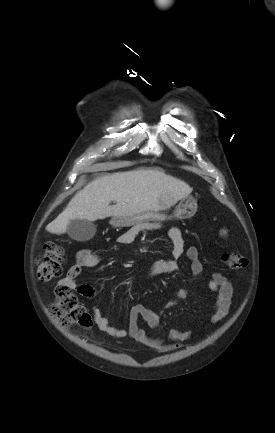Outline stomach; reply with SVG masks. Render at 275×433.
I'll list each match as a JSON object with an SVG mask.
<instances>
[{"label": "stomach", "mask_w": 275, "mask_h": 433, "mask_svg": "<svg viewBox=\"0 0 275 433\" xmlns=\"http://www.w3.org/2000/svg\"><path fill=\"white\" fill-rule=\"evenodd\" d=\"M175 204V200L170 199L167 203H161L160 207L154 211L142 212L139 214L113 217L110 224L114 227H126L137 223H148L151 221H165L172 218L175 219H189L197 211V202L192 197H185L174 210L171 216L166 215L163 211L167 210L170 206Z\"/></svg>", "instance_id": "stomach-1"}]
</instances>
